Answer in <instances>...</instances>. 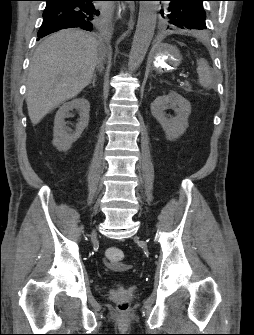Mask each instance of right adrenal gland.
Masks as SVG:
<instances>
[{
  "label": "right adrenal gland",
  "mask_w": 254,
  "mask_h": 335,
  "mask_svg": "<svg viewBox=\"0 0 254 335\" xmlns=\"http://www.w3.org/2000/svg\"><path fill=\"white\" fill-rule=\"evenodd\" d=\"M92 87H95V83H96V75L93 76V79H92Z\"/></svg>",
  "instance_id": "right-adrenal-gland-1"
}]
</instances>
